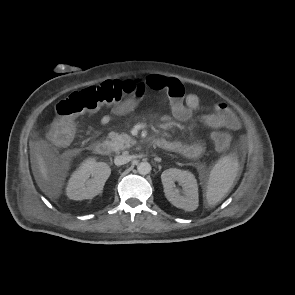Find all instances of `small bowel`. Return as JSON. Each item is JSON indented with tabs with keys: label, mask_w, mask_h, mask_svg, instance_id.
<instances>
[{
	"label": "small bowel",
	"mask_w": 295,
	"mask_h": 295,
	"mask_svg": "<svg viewBox=\"0 0 295 295\" xmlns=\"http://www.w3.org/2000/svg\"><path fill=\"white\" fill-rule=\"evenodd\" d=\"M135 83L136 91L134 95L114 105L111 108L110 114L104 115L101 118L103 125L109 124L113 117L123 116L134 111L148 89L165 91L168 94L171 115L178 121L190 119L193 113L200 107L198 95L194 93L186 94L184 86L178 79L152 74L144 80H136ZM204 123L212 129L227 128L237 130L240 126L235 114L224 103L216 104L214 112L204 117ZM161 141L162 145L160 148L188 158H197L205 150V144L202 141L190 143L166 139H161Z\"/></svg>",
	"instance_id": "1"
}]
</instances>
